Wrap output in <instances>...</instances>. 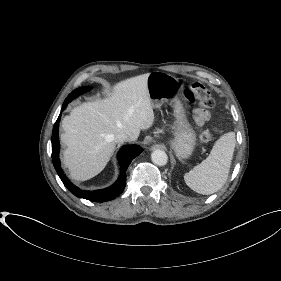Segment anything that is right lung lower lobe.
Segmentation results:
<instances>
[{
    "instance_id": "98d812e1",
    "label": "right lung lower lobe",
    "mask_w": 281,
    "mask_h": 281,
    "mask_svg": "<svg viewBox=\"0 0 281 281\" xmlns=\"http://www.w3.org/2000/svg\"><path fill=\"white\" fill-rule=\"evenodd\" d=\"M72 100L71 97H67L63 103L61 111H63L67 104ZM61 114L59 115L56 123L54 124L52 132V161L53 165L62 180L63 184L67 189L79 198H84L94 202H105L115 199L119 194H121L126 185V170L131 163V161L138 156L143 150L137 145H126L121 148L118 153V161L121 167V174L117 182L109 188L95 191H84L80 190L78 187L74 186L69 179H67L64 174L59 159V134L58 127L60 122Z\"/></svg>"
}]
</instances>
